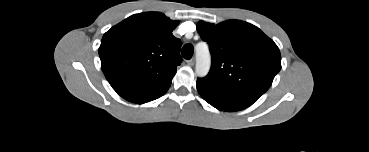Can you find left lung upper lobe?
I'll return each mask as SVG.
<instances>
[{"instance_id": "obj_1", "label": "left lung upper lobe", "mask_w": 369, "mask_h": 152, "mask_svg": "<svg viewBox=\"0 0 369 152\" xmlns=\"http://www.w3.org/2000/svg\"><path fill=\"white\" fill-rule=\"evenodd\" d=\"M197 31L209 44L212 65L203 82L225 91L259 98L281 69L277 45L256 26L228 20L200 21Z\"/></svg>"}]
</instances>
